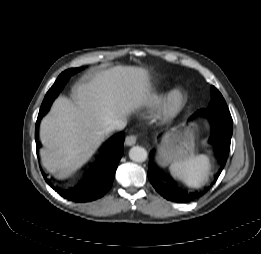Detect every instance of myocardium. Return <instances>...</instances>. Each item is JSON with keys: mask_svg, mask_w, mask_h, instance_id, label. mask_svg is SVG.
I'll return each mask as SVG.
<instances>
[{"mask_svg": "<svg viewBox=\"0 0 261 254\" xmlns=\"http://www.w3.org/2000/svg\"><path fill=\"white\" fill-rule=\"evenodd\" d=\"M188 102V95L181 87L169 90L154 113L156 123L166 125L177 119Z\"/></svg>", "mask_w": 261, "mask_h": 254, "instance_id": "myocardium-1", "label": "myocardium"}]
</instances>
